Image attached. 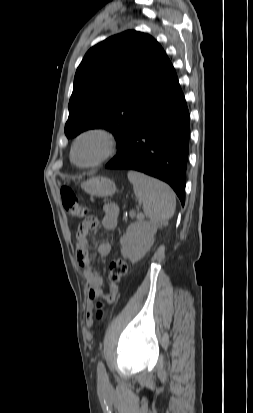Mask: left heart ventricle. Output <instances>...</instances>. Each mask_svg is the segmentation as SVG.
Segmentation results:
<instances>
[{"label": "left heart ventricle", "instance_id": "1", "mask_svg": "<svg viewBox=\"0 0 253 413\" xmlns=\"http://www.w3.org/2000/svg\"><path fill=\"white\" fill-rule=\"evenodd\" d=\"M103 143L99 138L86 137L82 139L75 151V159L82 164L94 161L101 153Z\"/></svg>", "mask_w": 253, "mask_h": 413}]
</instances>
